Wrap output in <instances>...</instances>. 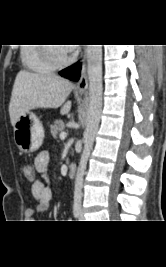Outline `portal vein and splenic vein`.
<instances>
[{"label":"portal vein and splenic vein","mask_w":166,"mask_h":267,"mask_svg":"<svg viewBox=\"0 0 166 267\" xmlns=\"http://www.w3.org/2000/svg\"><path fill=\"white\" fill-rule=\"evenodd\" d=\"M67 134L65 132L60 133L59 137L61 140H65Z\"/></svg>","instance_id":"obj_1"}]
</instances>
